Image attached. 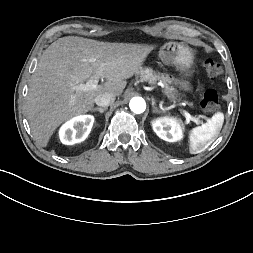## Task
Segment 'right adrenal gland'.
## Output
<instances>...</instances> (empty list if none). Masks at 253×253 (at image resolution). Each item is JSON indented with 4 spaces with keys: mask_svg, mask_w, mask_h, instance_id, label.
<instances>
[{
    "mask_svg": "<svg viewBox=\"0 0 253 253\" xmlns=\"http://www.w3.org/2000/svg\"><path fill=\"white\" fill-rule=\"evenodd\" d=\"M108 109V107H104V108H99V107H96V108H92L91 111L92 112H95V111H98L100 112L101 114L106 111Z\"/></svg>",
    "mask_w": 253,
    "mask_h": 253,
    "instance_id": "2a0ac1e0",
    "label": "right adrenal gland"
}]
</instances>
